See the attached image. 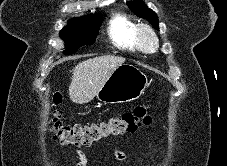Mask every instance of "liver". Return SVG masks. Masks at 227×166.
<instances>
[{
    "mask_svg": "<svg viewBox=\"0 0 227 166\" xmlns=\"http://www.w3.org/2000/svg\"><path fill=\"white\" fill-rule=\"evenodd\" d=\"M124 62L123 57L104 55L78 63L68 89L70 99L77 104L93 100L113 71Z\"/></svg>",
    "mask_w": 227,
    "mask_h": 166,
    "instance_id": "obj_1",
    "label": "liver"
}]
</instances>
